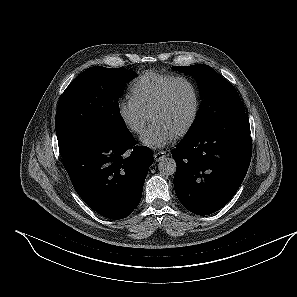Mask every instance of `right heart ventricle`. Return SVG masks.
Returning a JSON list of instances; mask_svg holds the SVG:
<instances>
[{"mask_svg": "<svg viewBox=\"0 0 297 297\" xmlns=\"http://www.w3.org/2000/svg\"><path fill=\"white\" fill-rule=\"evenodd\" d=\"M174 77L172 74L147 71L132 84L131 97L149 114L165 85Z\"/></svg>", "mask_w": 297, "mask_h": 297, "instance_id": "1", "label": "right heart ventricle"}]
</instances>
